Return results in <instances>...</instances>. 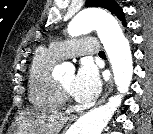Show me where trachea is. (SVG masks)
I'll list each match as a JSON object with an SVG mask.
<instances>
[{"label": "trachea", "mask_w": 153, "mask_h": 134, "mask_svg": "<svg viewBox=\"0 0 153 134\" xmlns=\"http://www.w3.org/2000/svg\"><path fill=\"white\" fill-rule=\"evenodd\" d=\"M99 56H105V52L104 51H100L99 52Z\"/></svg>", "instance_id": "trachea-1"}]
</instances>
